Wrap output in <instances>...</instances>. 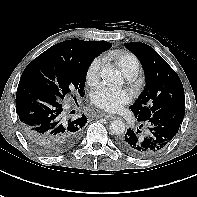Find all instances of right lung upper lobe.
Wrapping results in <instances>:
<instances>
[{"instance_id":"1","label":"right lung upper lobe","mask_w":197,"mask_h":197,"mask_svg":"<svg viewBox=\"0 0 197 197\" xmlns=\"http://www.w3.org/2000/svg\"><path fill=\"white\" fill-rule=\"evenodd\" d=\"M110 45L111 43L104 41H83L73 39L60 42L50 47V50L55 51L60 57L64 59L76 61L91 50L105 49Z\"/></svg>"}]
</instances>
